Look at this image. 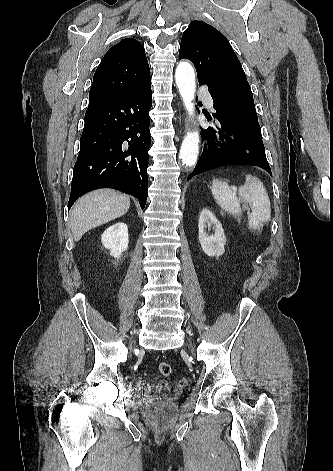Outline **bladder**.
Segmentation results:
<instances>
[{
	"label": "bladder",
	"mask_w": 333,
	"mask_h": 471,
	"mask_svg": "<svg viewBox=\"0 0 333 471\" xmlns=\"http://www.w3.org/2000/svg\"><path fill=\"white\" fill-rule=\"evenodd\" d=\"M170 386V382L165 379H158L151 384H149V387L154 390H164L167 389Z\"/></svg>",
	"instance_id": "bladder-1"
}]
</instances>
